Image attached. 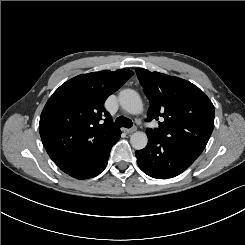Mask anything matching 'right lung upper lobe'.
<instances>
[{
	"instance_id": "1",
	"label": "right lung upper lobe",
	"mask_w": 245,
	"mask_h": 245,
	"mask_svg": "<svg viewBox=\"0 0 245 245\" xmlns=\"http://www.w3.org/2000/svg\"><path fill=\"white\" fill-rule=\"evenodd\" d=\"M133 74L126 69L82 74L53 93L41 113L39 132L57 166L65 167L79 154L103 147L120 133L104 102Z\"/></svg>"
}]
</instances>
